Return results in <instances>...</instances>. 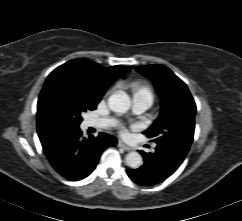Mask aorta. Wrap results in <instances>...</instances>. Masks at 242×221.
Listing matches in <instances>:
<instances>
[{"label": "aorta", "mask_w": 242, "mask_h": 221, "mask_svg": "<svg viewBox=\"0 0 242 221\" xmlns=\"http://www.w3.org/2000/svg\"><path fill=\"white\" fill-rule=\"evenodd\" d=\"M108 105L113 112L125 113L129 110L131 102L125 93L115 92L109 97ZM125 162L130 168L137 169L142 165L143 160L138 152L132 151L126 155Z\"/></svg>", "instance_id": "aorta-1"}]
</instances>
